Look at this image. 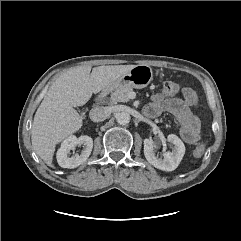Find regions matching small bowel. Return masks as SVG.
Instances as JSON below:
<instances>
[{"instance_id":"obj_1","label":"small bowel","mask_w":241,"mask_h":241,"mask_svg":"<svg viewBox=\"0 0 241 241\" xmlns=\"http://www.w3.org/2000/svg\"><path fill=\"white\" fill-rule=\"evenodd\" d=\"M196 104L195 92L191 88H184L182 98L166 97L162 93L155 94L151 103L145 108V113L150 117H156L162 112H169L180 126L182 139L193 144L200 137V121L193 112Z\"/></svg>"}]
</instances>
